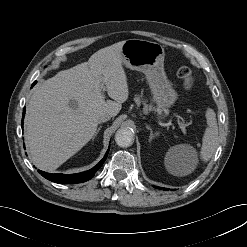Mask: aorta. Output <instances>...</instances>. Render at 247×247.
<instances>
[{
	"instance_id": "aorta-1",
	"label": "aorta",
	"mask_w": 247,
	"mask_h": 247,
	"mask_svg": "<svg viewBox=\"0 0 247 247\" xmlns=\"http://www.w3.org/2000/svg\"><path fill=\"white\" fill-rule=\"evenodd\" d=\"M115 141L120 147H129L133 144L134 134L128 128H120L115 134Z\"/></svg>"
}]
</instances>
